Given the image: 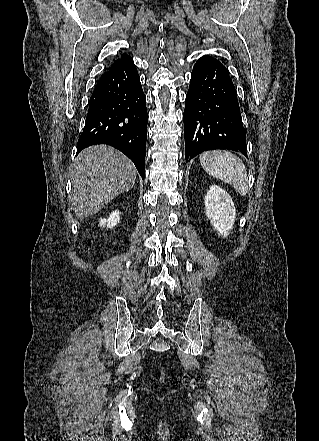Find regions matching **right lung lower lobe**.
I'll return each mask as SVG.
<instances>
[{
  "label": "right lung lower lobe",
  "mask_w": 319,
  "mask_h": 441,
  "mask_svg": "<svg viewBox=\"0 0 319 441\" xmlns=\"http://www.w3.org/2000/svg\"><path fill=\"white\" fill-rule=\"evenodd\" d=\"M148 114L146 97L133 59L105 72L89 100L77 154L95 144L115 147L145 174Z\"/></svg>",
  "instance_id": "obj_1"
}]
</instances>
